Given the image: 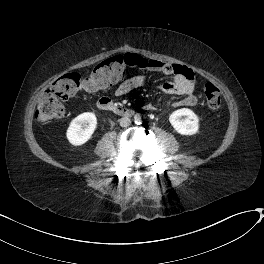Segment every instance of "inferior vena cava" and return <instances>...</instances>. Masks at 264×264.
<instances>
[{"instance_id": "obj_1", "label": "inferior vena cava", "mask_w": 264, "mask_h": 264, "mask_svg": "<svg viewBox=\"0 0 264 264\" xmlns=\"http://www.w3.org/2000/svg\"><path fill=\"white\" fill-rule=\"evenodd\" d=\"M121 127H127L130 125L131 121L128 117H123L119 120Z\"/></svg>"}]
</instances>
